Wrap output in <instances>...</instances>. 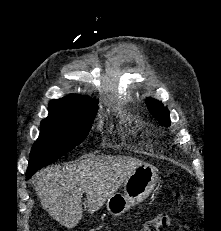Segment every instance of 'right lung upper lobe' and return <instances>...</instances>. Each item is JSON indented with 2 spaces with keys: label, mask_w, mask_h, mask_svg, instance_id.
<instances>
[{
  "label": "right lung upper lobe",
  "mask_w": 221,
  "mask_h": 231,
  "mask_svg": "<svg viewBox=\"0 0 221 231\" xmlns=\"http://www.w3.org/2000/svg\"><path fill=\"white\" fill-rule=\"evenodd\" d=\"M97 101L85 96L69 95L49 103L50 114H79L96 107ZM98 107V106H97Z\"/></svg>",
  "instance_id": "1"
}]
</instances>
